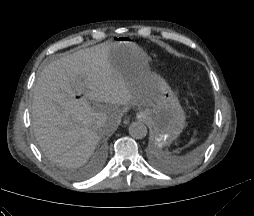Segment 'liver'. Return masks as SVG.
Wrapping results in <instances>:
<instances>
[{
	"mask_svg": "<svg viewBox=\"0 0 254 216\" xmlns=\"http://www.w3.org/2000/svg\"><path fill=\"white\" fill-rule=\"evenodd\" d=\"M107 41L64 55L40 73L33 91L32 124L46 156L59 166L84 165L101 137L121 121V106L153 103L149 76L129 78ZM84 92V96H76Z\"/></svg>",
	"mask_w": 254,
	"mask_h": 216,
	"instance_id": "6515ba94",
	"label": "liver"
}]
</instances>
